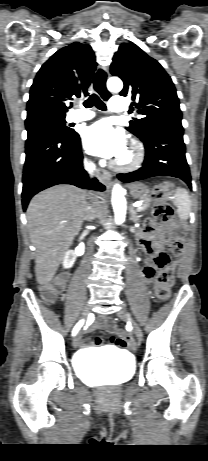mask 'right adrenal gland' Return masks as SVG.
<instances>
[{"label": "right adrenal gland", "mask_w": 208, "mask_h": 461, "mask_svg": "<svg viewBox=\"0 0 208 461\" xmlns=\"http://www.w3.org/2000/svg\"><path fill=\"white\" fill-rule=\"evenodd\" d=\"M84 220H85V221H89V218L86 216V217L84 218Z\"/></svg>", "instance_id": "2a0ac1e0"}]
</instances>
